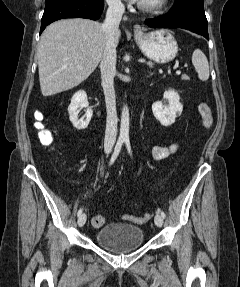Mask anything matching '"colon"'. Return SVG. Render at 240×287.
<instances>
[{
  "label": "colon",
  "instance_id": "1",
  "mask_svg": "<svg viewBox=\"0 0 240 287\" xmlns=\"http://www.w3.org/2000/svg\"><path fill=\"white\" fill-rule=\"evenodd\" d=\"M198 111L202 118L203 125L205 127H210L213 120L211 107L207 103L202 102L198 106ZM35 117L37 119L35 126L38 129V137L40 142L44 145L52 144L54 140L53 135L47 128H45V126L41 122L43 119V115L40 112H36ZM123 219L137 224H144L150 219V215L146 214L139 217L133 215H125L123 216ZM104 223L105 218L102 215H96L92 218V224L94 227H101L104 225Z\"/></svg>",
  "mask_w": 240,
  "mask_h": 287
}]
</instances>
